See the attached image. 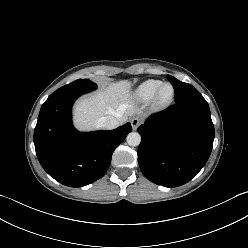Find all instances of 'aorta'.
Masks as SVG:
<instances>
[{"instance_id":"762f6f07","label":"aorta","mask_w":248,"mask_h":248,"mask_svg":"<svg viewBox=\"0 0 248 248\" xmlns=\"http://www.w3.org/2000/svg\"><path fill=\"white\" fill-rule=\"evenodd\" d=\"M127 143L130 146H138L141 142V135L138 132H131L127 135Z\"/></svg>"}]
</instances>
